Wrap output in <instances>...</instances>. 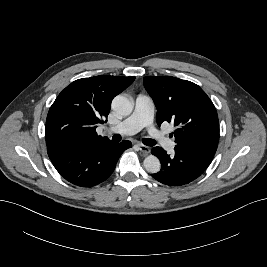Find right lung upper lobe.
<instances>
[{
    "label": "right lung upper lobe",
    "mask_w": 267,
    "mask_h": 267,
    "mask_svg": "<svg viewBox=\"0 0 267 267\" xmlns=\"http://www.w3.org/2000/svg\"><path fill=\"white\" fill-rule=\"evenodd\" d=\"M134 80L135 77L95 76L78 79L67 86L47 115L48 150L110 142L107 137L97 135V125L107 118L112 99Z\"/></svg>",
    "instance_id": "right-lung-upper-lobe-1"
}]
</instances>
